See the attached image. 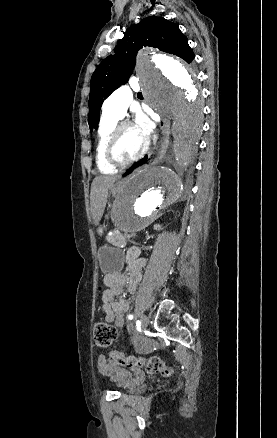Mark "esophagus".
<instances>
[{
  "instance_id": "34e87169",
  "label": "esophagus",
  "mask_w": 277,
  "mask_h": 438,
  "mask_svg": "<svg viewBox=\"0 0 277 438\" xmlns=\"http://www.w3.org/2000/svg\"><path fill=\"white\" fill-rule=\"evenodd\" d=\"M158 133L160 138L157 148L158 154L162 157L167 151L170 139V121L167 118H161L160 122L158 123Z\"/></svg>"
}]
</instances>
